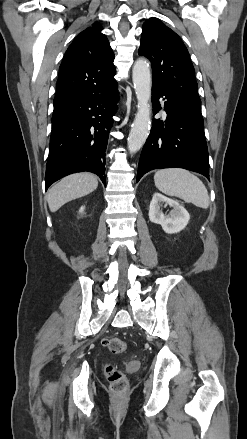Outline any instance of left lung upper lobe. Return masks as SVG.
Here are the masks:
<instances>
[{
  "instance_id": "5c2ea615",
  "label": "left lung upper lobe",
  "mask_w": 247,
  "mask_h": 439,
  "mask_svg": "<svg viewBox=\"0 0 247 439\" xmlns=\"http://www.w3.org/2000/svg\"><path fill=\"white\" fill-rule=\"evenodd\" d=\"M139 55L152 65L153 84L201 109L194 67L181 38L157 18L143 24Z\"/></svg>"
}]
</instances>
